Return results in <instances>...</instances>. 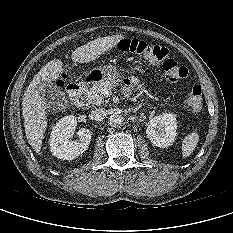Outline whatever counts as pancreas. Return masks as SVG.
Wrapping results in <instances>:
<instances>
[{
    "label": "pancreas",
    "instance_id": "pancreas-1",
    "mask_svg": "<svg viewBox=\"0 0 233 233\" xmlns=\"http://www.w3.org/2000/svg\"><path fill=\"white\" fill-rule=\"evenodd\" d=\"M116 82H100L95 83L90 89L84 88V98L87 102V105H101L107 103V100L104 96L105 90H112L116 86ZM134 85H137L139 90L142 89V85H138V80L134 81Z\"/></svg>",
    "mask_w": 233,
    "mask_h": 233
}]
</instances>
